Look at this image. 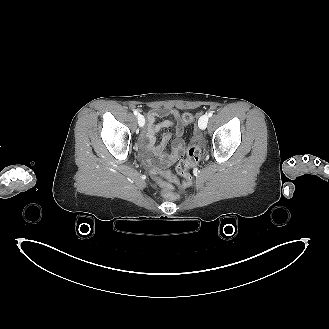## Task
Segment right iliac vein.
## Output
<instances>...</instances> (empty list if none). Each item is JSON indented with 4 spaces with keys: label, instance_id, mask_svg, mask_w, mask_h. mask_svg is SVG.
<instances>
[{
    "label": "right iliac vein",
    "instance_id": "63e3f726",
    "mask_svg": "<svg viewBox=\"0 0 329 329\" xmlns=\"http://www.w3.org/2000/svg\"><path fill=\"white\" fill-rule=\"evenodd\" d=\"M137 121H138V124H139V126L140 127H143L144 126V124H145V118H144V116H142V115H138V117H137Z\"/></svg>",
    "mask_w": 329,
    "mask_h": 329
}]
</instances>
